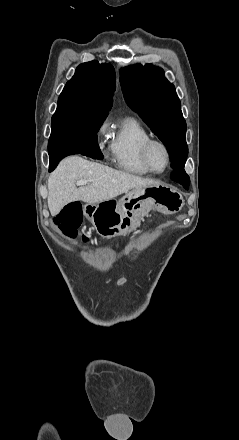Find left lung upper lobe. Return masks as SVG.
Masks as SVG:
<instances>
[{"label": "left lung upper lobe", "mask_w": 239, "mask_h": 440, "mask_svg": "<svg viewBox=\"0 0 239 440\" xmlns=\"http://www.w3.org/2000/svg\"><path fill=\"white\" fill-rule=\"evenodd\" d=\"M120 83L127 104L168 149L171 167L184 168L188 155L186 122L175 87L164 77V71L152 64H135L120 71Z\"/></svg>", "instance_id": "left-lung-upper-lobe-1"}]
</instances>
